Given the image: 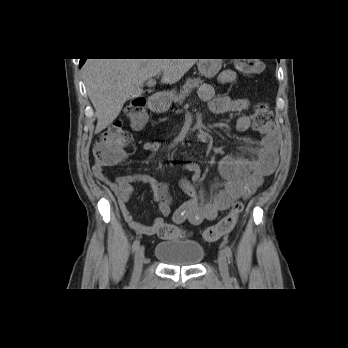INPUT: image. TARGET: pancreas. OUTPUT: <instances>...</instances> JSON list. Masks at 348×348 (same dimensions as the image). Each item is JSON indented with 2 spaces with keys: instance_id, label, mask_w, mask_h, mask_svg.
<instances>
[{
  "instance_id": "obj_1",
  "label": "pancreas",
  "mask_w": 348,
  "mask_h": 348,
  "mask_svg": "<svg viewBox=\"0 0 348 348\" xmlns=\"http://www.w3.org/2000/svg\"><path fill=\"white\" fill-rule=\"evenodd\" d=\"M202 83L203 80H201L200 78H188L182 89L180 90V93L176 96L175 103L182 105L185 98L190 95L191 91L199 87V85Z\"/></svg>"
}]
</instances>
